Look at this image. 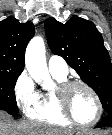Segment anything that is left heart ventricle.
<instances>
[{
    "label": "left heart ventricle",
    "mask_w": 112,
    "mask_h": 135,
    "mask_svg": "<svg viewBox=\"0 0 112 135\" xmlns=\"http://www.w3.org/2000/svg\"><path fill=\"white\" fill-rule=\"evenodd\" d=\"M70 108L77 120L89 122L97 113V106L92 95L83 87H75L69 95Z\"/></svg>",
    "instance_id": "b2bd125f"
}]
</instances>
